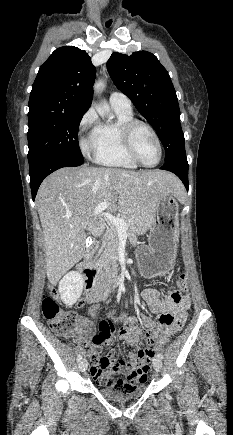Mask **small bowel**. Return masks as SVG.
Wrapping results in <instances>:
<instances>
[{"label":"small bowel","mask_w":233,"mask_h":435,"mask_svg":"<svg viewBox=\"0 0 233 435\" xmlns=\"http://www.w3.org/2000/svg\"><path fill=\"white\" fill-rule=\"evenodd\" d=\"M113 286L109 285L108 290ZM186 288H182L177 282V289L173 291H162L157 288H146L142 291V298L148 306L149 310L157 315V322L153 321L146 315L140 316V321L145 327L147 333L156 339L155 349L162 347L170 336L174 335L184 325L187 320V310L190 305V295L186 292ZM105 293L102 301L106 299ZM81 307V301L76 304ZM96 308H91L94 312ZM116 318H101L98 326L94 323L80 319L76 323L74 335L76 337L79 348L88 347L87 356L94 355L100 357V351L105 344L109 343V338L115 332ZM97 331V335L101 338L100 342L90 343V338ZM139 332L132 328H124L120 339L131 345H136L139 341ZM145 349H138V357L133 353L128 354L132 368L138 369L137 381L144 380L149 372V367L146 361L141 360V352ZM147 350V349H146ZM106 359L108 364L94 362L91 368V373L98 385H114L117 383L112 376L113 373H131L124 360L115 356L113 352L107 354Z\"/></svg>","instance_id":"1"}]
</instances>
